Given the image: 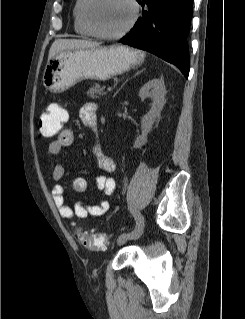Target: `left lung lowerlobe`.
I'll return each mask as SVG.
<instances>
[{"label":"left lung lower lobe","mask_w":245,"mask_h":319,"mask_svg":"<svg viewBox=\"0 0 245 319\" xmlns=\"http://www.w3.org/2000/svg\"><path fill=\"white\" fill-rule=\"evenodd\" d=\"M144 4L147 9L142 17L120 42L174 64L187 78L190 69L187 36L193 0H142Z\"/></svg>","instance_id":"left-lung-lower-lobe-1"}]
</instances>
